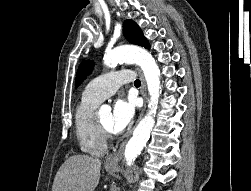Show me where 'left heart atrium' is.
<instances>
[{
    "mask_svg": "<svg viewBox=\"0 0 251 191\" xmlns=\"http://www.w3.org/2000/svg\"><path fill=\"white\" fill-rule=\"evenodd\" d=\"M134 106L131 102L118 100L115 102L110 116V131L122 133L134 117Z\"/></svg>",
    "mask_w": 251,
    "mask_h": 191,
    "instance_id": "39dd6f15",
    "label": "left heart atrium"
}]
</instances>
